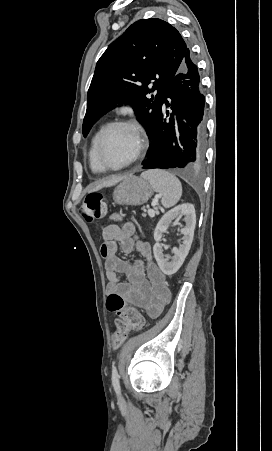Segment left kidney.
Here are the masks:
<instances>
[{"mask_svg": "<svg viewBox=\"0 0 272 451\" xmlns=\"http://www.w3.org/2000/svg\"><path fill=\"white\" fill-rule=\"evenodd\" d=\"M181 216H185L184 220L186 222V226L180 229L181 233H184L182 237L183 241L179 247H173L172 253H174V255H172L171 261H169L170 255H164L162 245L159 241H161L164 231H167L172 220H175V218H181ZM195 226L196 214L193 204H181V206H176V208L169 210V212L164 214L161 220H159L154 231V239L156 243L153 245V253L161 271L166 273V275L176 273L179 267H181L186 255L189 253V249L193 241Z\"/></svg>", "mask_w": 272, "mask_h": 451, "instance_id": "5707ae66", "label": "left kidney"}]
</instances>
